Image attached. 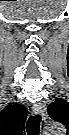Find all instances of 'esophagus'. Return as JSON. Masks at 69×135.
I'll return each instance as SVG.
<instances>
[{
	"instance_id": "1",
	"label": "esophagus",
	"mask_w": 69,
	"mask_h": 135,
	"mask_svg": "<svg viewBox=\"0 0 69 135\" xmlns=\"http://www.w3.org/2000/svg\"><path fill=\"white\" fill-rule=\"evenodd\" d=\"M32 108L35 114L41 115L43 120L46 119V109L42 104H35Z\"/></svg>"
}]
</instances>
